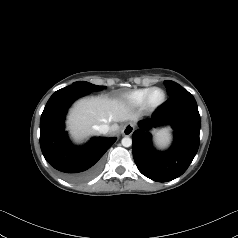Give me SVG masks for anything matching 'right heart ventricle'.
Masks as SVG:
<instances>
[{
  "label": "right heart ventricle",
  "instance_id": "e07e8e85",
  "mask_svg": "<svg viewBox=\"0 0 238 238\" xmlns=\"http://www.w3.org/2000/svg\"><path fill=\"white\" fill-rule=\"evenodd\" d=\"M151 88H140L127 93L124 96V101L131 106H142L144 104L145 98Z\"/></svg>",
  "mask_w": 238,
  "mask_h": 238
}]
</instances>
